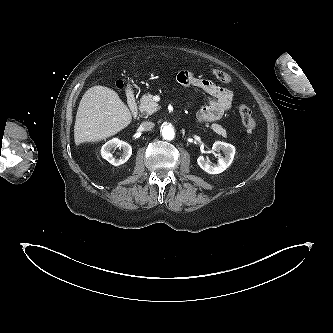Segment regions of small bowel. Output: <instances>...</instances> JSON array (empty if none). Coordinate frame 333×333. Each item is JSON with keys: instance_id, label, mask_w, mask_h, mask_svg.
<instances>
[{"instance_id": "obj_1", "label": "small bowel", "mask_w": 333, "mask_h": 333, "mask_svg": "<svg viewBox=\"0 0 333 333\" xmlns=\"http://www.w3.org/2000/svg\"><path fill=\"white\" fill-rule=\"evenodd\" d=\"M177 81L182 86L196 87L209 95L208 104L198 113V118L202 122L218 120L232 107L233 93L216 85L209 79L197 76L191 71L183 70L178 73Z\"/></svg>"}]
</instances>
